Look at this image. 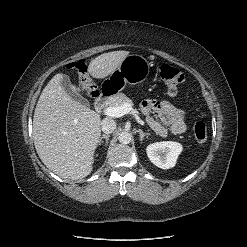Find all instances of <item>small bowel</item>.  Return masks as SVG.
I'll use <instances>...</instances> for the list:
<instances>
[{"label":"small bowel","instance_id":"small-bowel-1","mask_svg":"<svg viewBox=\"0 0 247 247\" xmlns=\"http://www.w3.org/2000/svg\"><path fill=\"white\" fill-rule=\"evenodd\" d=\"M141 108L149 127L159 136L165 137L169 133L179 135L186 131L185 112L166 100H144ZM156 113L160 120L154 118Z\"/></svg>","mask_w":247,"mask_h":247}]
</instances>
